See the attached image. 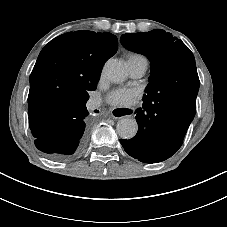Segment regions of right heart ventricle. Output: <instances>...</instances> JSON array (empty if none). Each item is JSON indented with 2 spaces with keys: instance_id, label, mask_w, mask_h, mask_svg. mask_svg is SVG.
<instances>
[{
  "instance_id": "e07e8e85",
  "label": "right heart ventricle",
  "mask_w": 227,
  "mask_h": 227,
  "mask_svg": "<svg viewBox=\"0 0 227 227\" xmlns=\"http://www.w3.org/2000/svg\"><path fill=\"white\" fill-rule=\"evenodd\" d=\"M127 60L129 63H139V64H145L147 66L146 58L140 53H136V52L127 53Z\"/></svg>"
}]
</instances>
